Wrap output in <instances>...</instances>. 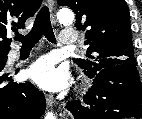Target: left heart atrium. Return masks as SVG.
<instances>
[{
    "mask_svg": "<svg viewBox=\"0 0 142 119\" xmlns=\"http://www.w3.org/2000/svg\"><path fill=\"white\" fill-rule=\"evenodd\" d=\"M28 75L37 85L50 91L63 89L68 79L67 71L64 68H56L49 57L38 59L28 70Z\"/></svg>",
    "mask_w": 142,
    "mask_h": 119,
    "instance_id": "obj_1",
    "label": "left heart atrium"
}]
</instances>
